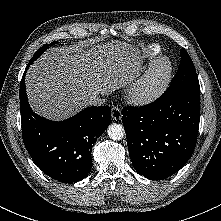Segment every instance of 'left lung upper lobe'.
<instances>
[{"instance_id":"1","label":"left lung upper lobe","mask_w":221,"mask_h":221,"mask_svg":"<svg viewBox=\"0 0 221 221\" xmlns=\"http://www.w3.org/2000/svg\"><path fill=\"white\" fill-rule=\"evenodd\" d=\"M187 87L200 88L194 64L188 53L182 49L179 68L173 77L169 88L179 89Z\"/></svg>"}]
</instances>
